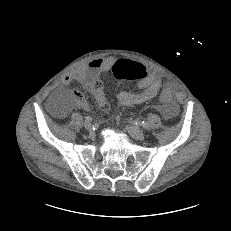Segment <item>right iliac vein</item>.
Instances as JSON below:
<instances>
[{"instance_id": "right-iliac-vein-1", "label": "right iliac vein", "mask_w": 231, "mask_h": 231, "mask_svg": "<svg viewBox=\"0 0 231 231\" xmlns=\"http://www.w3.org/2000/svg\"><path fill=\"white\" fill-rule=\"evenodd\" d=\"M84 127L87 129V130H91L92 129V124L90 122H85L84 123Z\"/></svg>"}]
</instances>
